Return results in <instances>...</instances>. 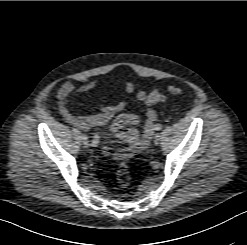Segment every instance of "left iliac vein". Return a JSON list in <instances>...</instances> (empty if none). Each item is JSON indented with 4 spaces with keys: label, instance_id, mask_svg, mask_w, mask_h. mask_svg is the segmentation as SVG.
Listing matches in <instances>:
<instances>
[{
    "label": "left iliac vein",
    "instance_id": "left-iliac-vein-1",
    "mask_svg": "<svg viewBox=\"0 0 247 245\" xmlns=\"http://www.w3.org/2000/svg\"><path fill=\"white\" fill-rule=\"evenodd\" d=\"M160 134L159 133H157L156 135H155V137H154V143L155 144H158L159 142H160Z\"/></svg>",
    "mask_w": 247,
    "mask_h": 245
}]
</instances>
